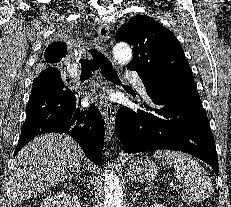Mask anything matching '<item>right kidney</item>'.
Masks as SVG:
<instances>
[{"label": "right kidney", "mask_w": 231, "mask_h": 207, "mask_svg": "<svg viewBox=\"0 0 231 207\" xmlns=\"http://www.w3.org/2000/svg\"><path fill=\"white\" fill-rule=\"evenodd\" d=\"M82 203L77 195L59 191L43 200L40 207H81Z\"/></svg>", "instance_id": "1"}]
</instances>
